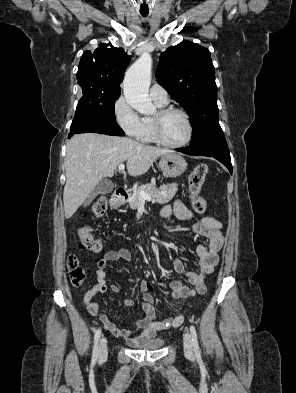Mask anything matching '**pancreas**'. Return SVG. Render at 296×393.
<instances>
[{
    "instance_id": "cf45deb5",
    "label": "pancreas",
    "mask_w": 296,
    "mask_h": 393,
    "mask_svg": "<svg viewBox=\"0 0 296 393\" xmlns=\"http://www.w3.org/2000/svg\"><path fill=\"white\" fill-rule=\"evenodd\" d=\"M141 191H144L150 195L155 203L165 204L172 200V198L175 196L176 192L178 191V184L172 183L162 185L159 187V189L151 183L139 186L133 191V194L129 199V205L131 209H136L140 205L142 201L140 197Z\"/></svg>"
}]
</instances>
